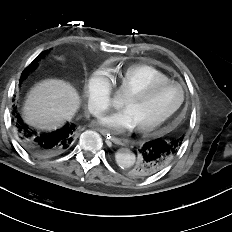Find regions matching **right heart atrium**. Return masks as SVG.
Listing matches in <instances>:
<instances>
[{"mask_svg": "<svg viewBox=\"0 0 232 232\" xmlns=\"http://www.w3.org/2000/svg\"><path fill=\"white\" fill-rule=\"evenodd\" d=\"M88 111L97 116L107 111L112 104L111 84L107 74L97 71L92 74L85 86Z\"/></svg>", "mask_w": 232, "mask_h": 232, "instance_id": "1", "label": "right heart atrium"}]
</instances>
